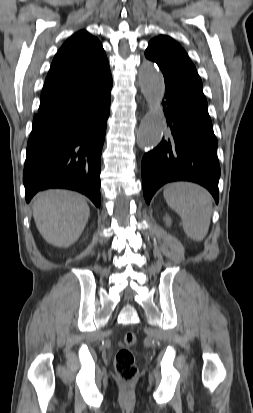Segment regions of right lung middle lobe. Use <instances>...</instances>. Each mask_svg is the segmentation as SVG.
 <instances>
[{
	"label": "right lung middle lobe",
	"instance_id": "obj_1",
	"mask_svg": "<svg viewBox=\"0 0 253 413\" xmlns=\"http://www.w3.org/2000/svg\"><path fill=\"white\" fill-rule=\"evenodd\" d=\"M38 120H39V119H37V118H34V119H33V122H35V121H38Z\"/></svg>",
	"mask_w": 253,
	"mask_h": 413
}]
</instances>
